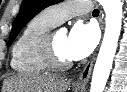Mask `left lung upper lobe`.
<instances>
[{"label":"left lung upper lobe","mask_w":127,"mask_h":92,"mask_svg":"<svg viewBox=\"0 0 127 92\" xmlns=\"http://www.w3.org/2000/svg\"><path fill=\"white\" fill-rule=\"evenodd\" d=\"M62 0H24L20 12L14 20L8 46L11 45L21 29L44 8L59 3Z\"/></svg>","instance_id":"1"}]
</instances>
